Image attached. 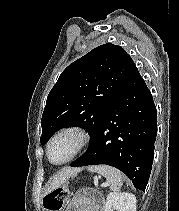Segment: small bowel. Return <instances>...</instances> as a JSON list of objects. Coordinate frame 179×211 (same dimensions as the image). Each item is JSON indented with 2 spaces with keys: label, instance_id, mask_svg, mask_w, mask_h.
<instances>
[{
  "label": "small bowel",
  "instance_id": "1",
  "mask_svg": "<svg viewBox=\"0 0 179 211\" xmlns=\"http://www.w3.org/2000/svg\"><path fill=\"white\" fill-rule=\"evenodd\" d=\"M66 211H104V199L96 191L85 189L73 196Z\"/></svg>",
  "mask_w": 179,
  "mask_h": 211
}]
</instances>
